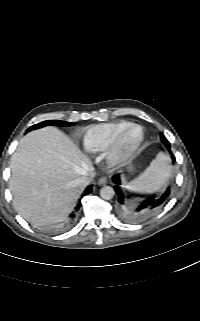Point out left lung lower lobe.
Wrapping results in <instances>:
<instances>
[{"mask_svg": "<svg viewBox=\"0 0 200 321\" xmlns=\"http://www.w3.org/2000/svg\"><path fill=\"white\" fill-rule=\"evenodd\" d=\"M170 151V143L167 141L165 145ZM173 162L175 158L173 157ZM113 182L116 184L115 191L118 195L119 210L126 220L140 221L147 218L150 214L158 210L168 199L170 195V189H167L161 196H150L143 201H135L130 196L126 195L120 185V177L118 175L113 176Z\"/></svg>", "mask_w": 200, "mask_h": 321, "instance_id": "left-lung-lower-lobe-1", "label": "left lung lower lobe"}]
</instances>
